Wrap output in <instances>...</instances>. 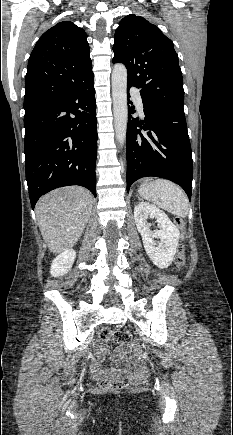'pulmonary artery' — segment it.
Listing matches in <instances>:
<instances>
[{"mask_svg": "<svg viewBox=\"0 0 233 435\" xmlns=\"http://www.w3.org/2000/svg\"><path fill=\"white\" fill-rule=\"evenodd\" d=\"M132 96H133V99H134L137 107L140 110H142L143 109V103H142V99H141V96H140V92L137 89H133Z\"/></svg>", "mask_w": 233, "mask_h": 435, "instance_id": "obj_1", "label": "pulmonary artery"}]
</instances>
